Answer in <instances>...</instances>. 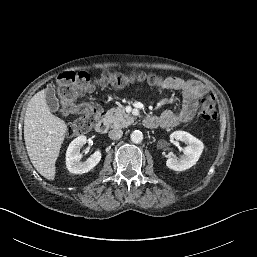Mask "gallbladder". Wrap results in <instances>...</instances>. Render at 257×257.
I'll use <instances>...</instances> for the list:
<instances>
[{
    "mask_svg": "<svg viewBox=\"0 0 257 257\" xmlns=\"http://www.w3.org/2000/svg\"><path fill=\"white\" fill-rule=\"evenodd\" d=\"M47 106L50 111L57 112L60 108L59 100L55 95V90L52 86L46 89V97H45Z\"/></svg>",
    "mask_w": 257,
    "mask_h": 257,
    "instance_id": "obj_1",
    "label": "gallbladder"
}]
</instances>
